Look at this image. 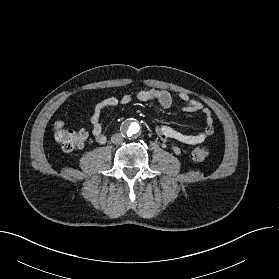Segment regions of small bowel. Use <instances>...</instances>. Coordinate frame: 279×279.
<instances>
[{
	"mask_svg": "<svg viewBox=\"0 0 279 279\" xmlns=\"http://www.w3.org/2000/svg\"><path fill=\"white\" fill-rule=\"evenodd\" d=\"M182 105V110L185 112H200L205 121L204 129L197 134H185L168 125H160L157 127V134L166 142L167 139H173L180 144L195 146L207 140L214 132L213 118L210 110L205 107L199 100L190 97L185 93L178 95ZM140 102L157 101L163 108L168 109L173 103V97L170 92L160 89H145L137 92L135 95L126 94L122 97H107L99 101L93 110L90 117V128L94 139L99 144H104L107 140V135L102 130L100 117L104 109L124 106L133 101ZM172 149L175 153L180 152L177 145H173Z\"/></svg>",
	"mask_w": 279,
	"mask_h": 279,
	"instance_id": "c3829d8e",
	"label": "small bowel"
}]
</instances>
